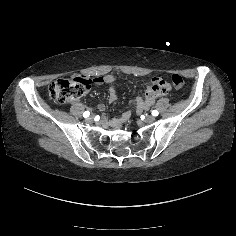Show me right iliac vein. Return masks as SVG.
I'll list each match as a JSON object with an SVG mask.
<instances>
[{"instance_id":"obj_1","label":"right iliac vein","mask_w":236,"mask_h":236,"mask_svg":"<svg viewBox=\"0 0 236 236\" xmlns=\"http://www.w3.org/2000/svg\"><path fill=\"white\" fill-rule=\"evenodd\" d=\"M93 120H94V117H93V116H89L86 121H87L88 123H92Z\"/></svg>"}]
</instances>
